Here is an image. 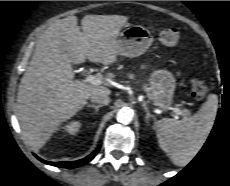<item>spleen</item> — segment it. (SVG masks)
Returning a JSON list of instances; mask_svg holds the SVG:
<instances>
[{
  "mask_svg": "<svg viewBox=\"0 0 230 186\" xmlns=\"http://www.w3.org/2000/svg\"><path fill=\"white\" fill-rule=\"evenodd\" d=\"M218 96L210 94L196 115L182 120L163 118L155 128L160 148L177 166H186L200 151L214 125Z\"/></svg>",
  "mask_w": 230,
  "mask_h": 186,
  "instance_id": "3e777b00",
  "label": "spleen"
}]
</instances>
